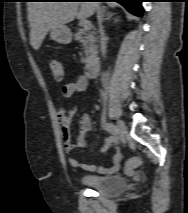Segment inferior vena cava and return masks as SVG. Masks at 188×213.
<instances>
[{
  "label": "inferior vena cava",
  "mask_w": 188,
  "mask_h": 213,
  "mask_svg": "<svg viewBox=\"0 0 188 213\" xmlns=\"http://www.w3.org/2000/svg\"><path fill=\"white\" fill-rule=\"evenodd\" d=\"M96 11H97L99 30H100V35H101V40H100L101 53H102V56L105 57L106 52H107V42H106L107 38L105 37L103 26H102V21H101L100 16H99L101 9L98 8Z\"/></svg>",
  "instance_id": "602c4592"
}]
</instances>
